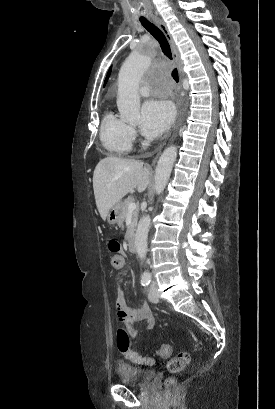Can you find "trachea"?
Returning a JSON list of instances; mask_svg holds the SVG:
<instances>
[{
  "label": "trachea",
  "mask_w": 275,
  "mask_h": 409,
  "mask_svg": "<svg viewBox=\"0 0 275 409\" xmlns=\"http://www.w3.org/2000/svg\"><path fill=\"white\" fill-rule=\"evenodd\" d=\"M141 24L143 25V27L146 28V30L148 32L151 33V35L156 38V40H158L160 47L162 49V52L169 57V59L172 58V53H171V48L170 45L168 43L167 38L165 37L164 33L160 30V28L156 27V25H154L153 23H150L148 20L146 19H141L140 20ZM172 77L174 78V80L176 82L179 81V74L176 68H174V70L172 71Z\"/></svg>",
  "instance_id": "obj_1"
}]
</instances>
